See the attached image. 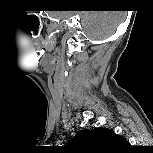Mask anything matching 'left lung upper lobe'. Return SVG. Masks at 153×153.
Returning <instances> with one entry per match:
<instances>
[{
	"mask_svg": "<svg viewBox=\"0 0 153 153\" xmlns=\"http://www.w3.org/2000/svg\"><path fill=\"white\" fill-rule=\"evenodd\" d=\"M68 145L82 153H109L127 147L128 141L108 128L82 130Z\"/></svg>",
	"mask_w": 153,
	"mask_h": 153,
	"instance_id": "left-lung-upper-lobe-1",
	"label": "left lung upper lobe"
}]
</instances>
